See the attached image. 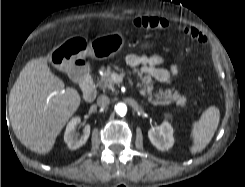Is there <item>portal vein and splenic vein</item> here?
<instances>
[{
	"mask_svg": "<svg viewBox=\"0 0 245 187\" xmlns=\"http://www.w3.org/2000/svg\"><path fill=\"white\" fill-rule=\"evenodd\" d=\"M112 79L114 82L120 83V82H122L123 77L121 75H118V74H113ZM153 104L154 105H165V104H170V102H155Z\"/></svg>",
	"mask_w": 245,
	"mask_h": 187,
	"instance_id": "obj_1",
	"label": "portal vein and splenic vein"
}]
</instances>
